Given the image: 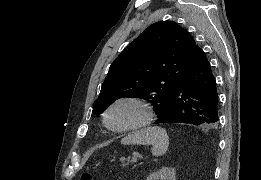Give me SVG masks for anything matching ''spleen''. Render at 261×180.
Returning a JSON list of instances; mask_svg holds the SVG:
<instances>
[{"label": "spleen", "mask_w": 261, "mask_h": 180, "mask_svg": "<svg viewBox=\"0 0 261 180\" xmlns=\"http://www.w3.org/2000/svg\"><path fill=\"white\" fill-rule=\"evenodd\" d=\"M121 144H124V146H128V144H138V146L140 144L141 146L151 144L152 156H164L168 150L169 138L164 128L153 126V128H143V130H138L134 134H129L121 140Z\"/></svg>", "instance_id": "3e777b00"}]
</instances>
